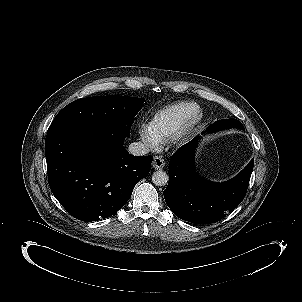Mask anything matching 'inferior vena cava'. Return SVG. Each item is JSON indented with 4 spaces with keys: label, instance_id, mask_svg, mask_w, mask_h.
Masks as SVG:
<instances>
[{
    "label": "inferior vena cava",
    "instance_id": "obj_1",
    "mask_svg": "<svg viewBox=\"0 0 302 302\" xmlns=\"http://www.w3.org/2000/svg\"><path fill=\"white\" fill-rule=\"evenodd\" d=\"M128 152L134 156H144L149 153V149L141 142H133L129 145Z\"/></svg>",
    "mask_w": 302,
    "mask_h": 302
}]
</instances>
